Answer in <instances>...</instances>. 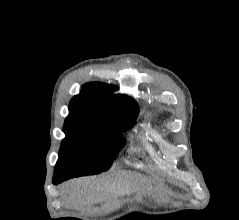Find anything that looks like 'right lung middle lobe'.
I'll return each instance as SVG.
<instances>
[{
	"label": "right lung middle lobe",
	"instance_id": "1",
	"mask_svg": "<svg viewBox=\"0 0 239 220\" xmlns=\"http://www.w3.org/2000/svg\"><path fill=\"white\" fill-rule=\"evenodd\" d=\"M135 121L108 126H86L65 123L66 138L61 143L53 181L59 183L79 176L107 171L123 145L121 132Z\"/></svg>",
	"mask_w": 239,
	"mask_h": 220
}]
</instances>
